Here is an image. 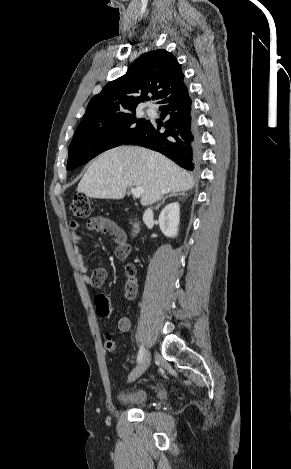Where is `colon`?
I'll list each match as a JSON object with an SVG mask.
<instances>
[{"instance_id":"5ec220e1","label":"colon","mask_w":291,"mask_h":469,"mask_svg":"<svg viewBox=\"0 0 291 469\" xmlns=\"http://www.w3.org/2000/svg\"><path fill=\"white\" fill-rule=\"evenodd\" d=\"M69 213L71 216L78 219L88 218L91 214V205L88 197L83 194L75 195L69 207ZM129 250V247L125 245L118 249L117 256L119 258L124 257L129 253ZM135 274V267L132 264H127L125 266V275L127 278L128 290L131 295L136 291L137 288ZM92 302L96 305V311L100 313L99 317L102 320H107L109 318V313L113 310V307L110 305L111 299L109 293H96L95 297L92 299ZM104 344L108 351H115V343L109 335H105Z\"/></svg>"}]
</instances>
